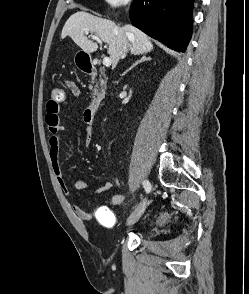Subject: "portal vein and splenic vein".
<instances>
[{
    "mask_svg": "<svg viewBox=\"0 0 249 294\" xmlns=\"http://www.w3.org/2000/svg\"><path fill=\"white\" fill-rule=\"evenodd\" d=\"M86 34H88V32H86ZM91 37H92V39L96 40L98 43L102 44L101 39L97 35H92ZM111 63H112L111 58L104 57V59H103L104 66L108 67L111 65Z\"/></svg>",
    "mask_w": 249,
    "mask_h": 294,
    "instance_id": "1",
    "label": "portal vein and splenic vein"
}]
</instances>
